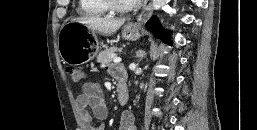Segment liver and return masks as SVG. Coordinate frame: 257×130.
I'll return each instance as SVG.
<instances>
[{"mask_svg": "<svg viewBox=\"0 0 257 130\" xmlns=\"http://www.w3.org/2000/svg\"><path fill=\"white\" fill-rule=\"evenodd\" d=\"M72 21L86 25L91 30H96L99 33L108 36L115 33L125 22V18L113 19L109 17H80Z\"/></svg>", "mask_w": 257, "mask_h": 130, "instance_id": "1", "label": "liver"}]
</instances>
